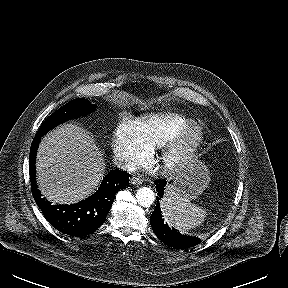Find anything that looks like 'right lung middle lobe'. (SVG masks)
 <instances>
[{
    "label": "right lung middle lobe",
    "instance_id": "right-lung-middle-lobe-1",
    "mask_svg": "<svg viewBox=\"0 0 288 288\" xmlns=\"http://www.w3.org/2000/svg\"><path fill=\"white\" fill-rule=\"evenodd\" d=\"M95 108L96 105L91 104L86 99H74L50 115L41 125L36 136L41 137L58 124L75 117L84 116Z\"/></svg>",
    "mask_w": 288,
    "mask_h": 288
}]
</instances>
